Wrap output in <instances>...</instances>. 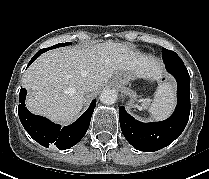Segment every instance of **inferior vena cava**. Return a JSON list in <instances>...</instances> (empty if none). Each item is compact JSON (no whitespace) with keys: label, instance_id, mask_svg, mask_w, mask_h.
I'll use <instances>...</instances> for the list:
<instances>
[{"label":"inferior vena cava","instance_id":"obj_1","mask_svg":"<svg viewBox=\"0 0 209 179\" xmlns=\"http://www.w3.org/2000/svg\"><path fill=\"white\" fill-rule=\"evenodd\" d=\"M83 92L88 93L94 90V84L91 82L86 83L83 88H82Z\"/></svg>","mask_w":209,"mask_h":179}]
</instances>
